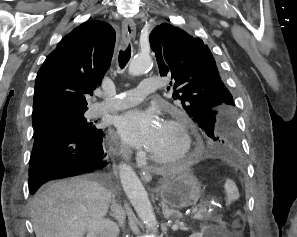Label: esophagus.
<instances>
[{"label":"esophagus","mask_w":297,"mask_h":237,"mask_svg":"<svg viewBox=\"0 0 297 237\" xmlns=\"http://www.w3.org/2000/svg\"><path fill=\"white\" fill-rule=\"evenodd\" d=\"M136 33V26L133 19H126L122 23V37H123V43L127 45L131 38L135 36ZM141 179L144 182H150L152 180V175L149 171V169H144L140 173Z\"/></svg>","instance_id":"obj_1"}]
</instances>
